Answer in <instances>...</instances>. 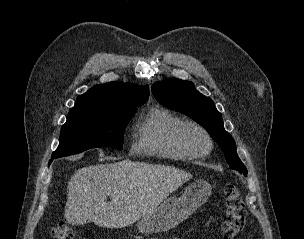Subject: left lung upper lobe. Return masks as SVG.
Instances as JSON below:
<instances>
[{
    "label": "left lung upper lobe",
    "instance_id": "1",
    "mask_svg": "<svg viewBox=\"0 0 304 239\" xmlns=\"http://www.w3.org/2000/svg\"><path fill=\"white\" fill-rule=\"evenodd\" d=\"M152 93L165 107L184 113L203 126L220 145L230 168L247 175L237 155L235 141L225 131L222 116L210 98L195 90L191 82L179 79L156 82Z\"/></svg>",
    "mask_w": 304,
    "mask_h": 239
}]
</instances>
